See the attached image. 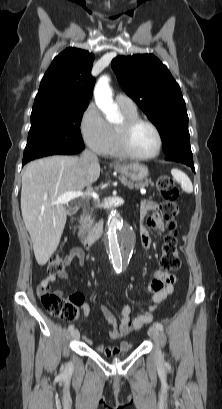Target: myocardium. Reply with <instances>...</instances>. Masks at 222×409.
Returning <instances> with one entry per match:
<instances>
[{
	"label": "myocardium",
	"instance_id": "myocardium-1",
	"mask_svg": "<svg viewBox=\"0 0 222 409\" xmlns=\"http://www.w3.org/2000/svg\"><path fill=\"white\" fill-rule=\"evenodd\" d=\"M140 124H146L150 126L155 131L156 136H157V147L153 153L148 154V155H138L134 153L129 145V135L131 131ZM116 133H117V142H118L120 151L122 152L123 155L131 159L143 160V161L150 160V159L157 157L162 150L163 137H162L161 131L155 123H153L152 121L148 119L141 118V117L125 118L123 123L117 127Z\"/></svg>",
	"mask_w": 222,
	"mask_h": 409
}]
</instances>
